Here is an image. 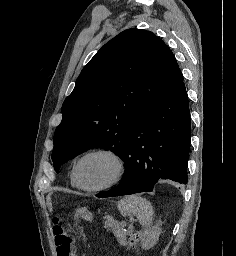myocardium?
I'll list each match as a JSON object with an SVG mask.
<instances>
[{
	"label": "myocardium",
	"instance_id": "myocardium-1",
	"mask_svg": "<svg viewBox=\"0 0 236 256\" xmlns=\"http://www.w3.org/2000/svg\"><path fill=\"white\" fill-rule=\"evenodd\" d=\"M94 154H106L112 157L117 165V171L115 176L109 182L97 187H88L84 184L81 177V164L86 157ZM125 170H126L125 160L117 150L111 147H99V148L91 149L80 156V158L77 160V163H76L75 175H76L77 182L82 189L88 192H100V191L109 189L115 186L117 183H119L125 174Z\"/></svg>",
	"mask_w": 236,
	"mask_h": 256
}]
</instances>
